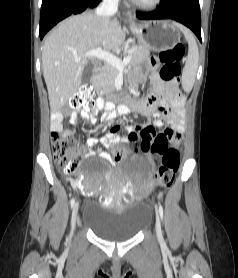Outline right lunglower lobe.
I'll return each instance as SVG.
<instances>
[{
	"instance_id": "right-lung-lower-lobe-1",
	"label": "right lung lower lobe",
	"mask_w": 238,
	"mask_h": 278,
	"mask_svg": "<svg viewBox=\"0 0 238 278\" xmlns=\"http://www.w3.org/2000/svg\"><path fill=\"white\" fill-rule=\"evenodd\" d=\"M101 0H43L40 13V39L59 21L95 7Z\"/></svg>"
}]
</instances>
